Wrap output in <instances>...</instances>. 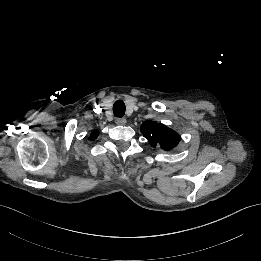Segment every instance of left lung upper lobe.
<instances>
[{
	"instance_id": "1",
	"label": "left lung upper lobe",
	"mask_w": 261,
	"mask_h": 261,
	"mask_svg": "<svg viewBox=\"0 0 261 261\" xmlns=\"http://www.w3.org/2000/svg\"><path fill=\"white\" fill-rule=\"evenodd\" d=\"M141 132L151 146L159 144L164 150L174 148L180 141V136L174 130L150 120L141 125Z\"/></svg>"
}]
</instances>
